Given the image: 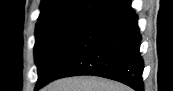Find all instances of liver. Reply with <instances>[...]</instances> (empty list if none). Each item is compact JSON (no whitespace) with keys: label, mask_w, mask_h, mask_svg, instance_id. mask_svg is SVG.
<instances>
[{"label":"liver","mask_w":173,"mask_h":91,"mask_svg":"<svg viewBox=\"0 0 173 91\" xmlns=\"http://www.w3.org/2000/svg\"><path fill=\"white\" fill-rule=\"evenodd\" d=\"M42 91H132L129 87L96 76H78L55 80Z\"/></svg>","instance_id":"liver-1"}]
</instances>
